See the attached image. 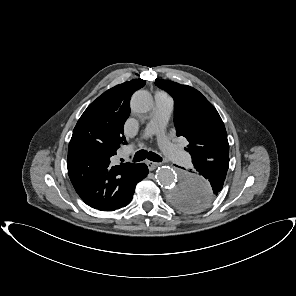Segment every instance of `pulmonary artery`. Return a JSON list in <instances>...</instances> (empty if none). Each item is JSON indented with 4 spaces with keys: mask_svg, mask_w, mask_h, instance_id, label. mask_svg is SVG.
I'll return each mask as SVG.
<instances>
[{
    "mask_svg": "<svg viewBox=\"0 0 296 296\" xmlns=\"http://www.w3.org/2000/svg\"><path fill=\"white\" fill-rule=\"evenodd\" d=\"M173 108V98L165 92H157L155 94V108L143 131V138L157 136L160 148L170 160L187 164L190 161V155L170 142L165 135V127Z\"/></svg>",
    "mask_w": 296,
    "mask_h": 296,
    "instance_id": "e3ab8cb5",
    "label": "pulmonary artery"
}]
</instances>
